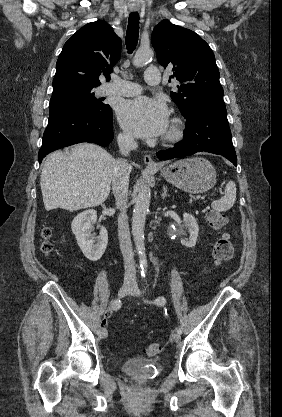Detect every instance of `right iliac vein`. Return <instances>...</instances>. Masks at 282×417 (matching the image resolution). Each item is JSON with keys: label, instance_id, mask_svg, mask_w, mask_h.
<instances>
[{"label": "right iliac vein", "instance_id": "1", "mask_svg": "<svg viewBox=\"0 0 282 417\" xmlns=\"http://www.w3.org/2000/svg\"><path fill=\"white\" fill-rule=\"evenodd\" d=\"M132 287H133V285H132V284H130V283H124V284L121 286V288L119 289V291H118V296H119V297H124V296H126V295H127V294L131 291ZM107 335H108V332H107V330H106V329H102V330L99 332V336H100V338H106V337H107Z\"/></svg>", "mask_w": 282, "mask_h": 417}]
</instances>
